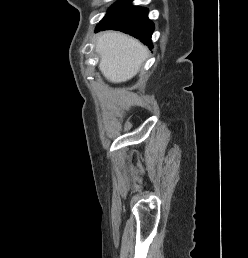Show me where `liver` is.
<instances>
[{
	"mask_svg": "<svg viewBox=\"0 0 248 258\" xmlns=\"http://www.w3.org/2000/svg\"><path fill=\"white\" fill-rule=\"evenodd\" d=\"M95 49L101 58L100 71L113 83L134 77L148 56L147 48L137 39L114 31L101 33Z\"/></svg>",
	"mask_w": 248,
	"mask_h": 258,
	"instance_id": "1",
	"label": "liver"
}]
</instances>
